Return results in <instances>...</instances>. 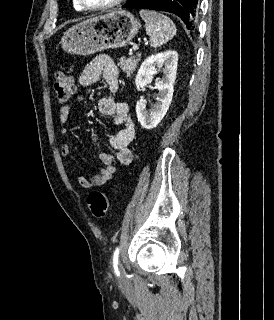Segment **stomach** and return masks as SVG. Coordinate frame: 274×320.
I'll list each match as a JSON object with an SVG mask.
<instances>
[{
    "instance_id": "stomach-1",
    "label": "stomach",
    "mask_w": 274,
    "mask_h": 320,
    "mask_svg": "<svg viewBox=\"0 0 274 320\" xmlns=\"http://www.w3.org/2000/svg\"><path fill=\"white\" fill-rule=\"evenodd\" d=\"M140 28L139 20L130 12L117 10L72 26L63 34L60 44L67 54L91 56L104 50L125 48Z\"/></svg>"
}]
</instances>
